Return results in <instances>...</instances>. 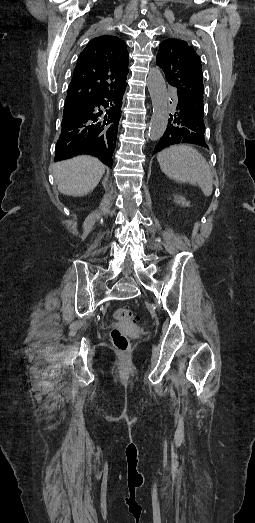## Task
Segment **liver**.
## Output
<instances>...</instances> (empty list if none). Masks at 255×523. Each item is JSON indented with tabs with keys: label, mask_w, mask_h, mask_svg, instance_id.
<instances>
[{
	"label": "liver",
	"mask_w": 255,
	"mask_h": 523,
	"mask_svg": "<svg viewBox=\"0 0 255 523\" xmlns=\"http://www.w3.org/2000/svg\"><path fill=\"white\" fill-rule=\"evenodd\" d=\"M52 170L58 190L65 196H86L93 192L105 174L104 164L92 156H76L72 160L56 162Z\"/></svg>",
	"instance_id": "6515ba94"
}]
</instances>
